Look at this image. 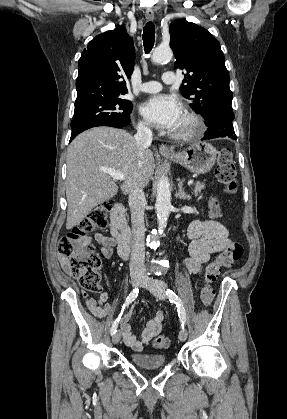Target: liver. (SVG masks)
<instances>
[{
    "label": "liver",
    "mask_w": 287,
    "mask_h": 419,
    "mask_svg": "<svg viewBox=\"0 0 287 419\" xmlns=\"http://www.w3.org/2000/svg\"><path fill=\"white\" fill-rule=\"evenodd\" d=\"M154 167L152 151L146 148L141 158L135 139L125 130L95 127L79 134L67 151L66 228L77 226L93 208L117 195L118 185L101 169L122 172L120 188L126 194L135 182L147 186Z\"/></svg>",
    "instance_id": "obj_1"
}]
</instances>
